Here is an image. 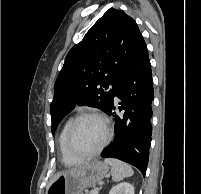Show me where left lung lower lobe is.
I'll return each instance as SVG.
<instances>
[{"label":"left lung lower lobe","mask_w":201,"mask_h":194,"mask_svg":"<svg viewBox=\"0 0 201 194\" xmlns=\"http://www.w3.org/2000/svg\"><path fill=\"white\" fill-rule=\"evenodd\" d=\"M153 91L148 49L143 42L115 95L121 100L119 110H124L123 117L115 114L114 104L107 111L115 120V138L101 155L127 162L137 167L143 176L152 140Z\"/></svg>","instance_id":"left-lung-lower-lobe-1"}]
</instances>
